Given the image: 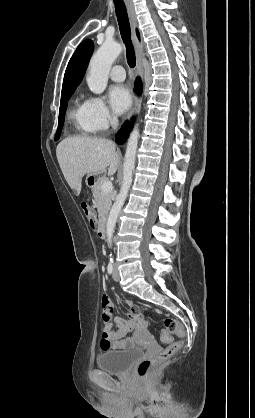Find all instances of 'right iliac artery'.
I'll return each instance as SVG.
<instances>
[{
	"instance_id": "right-iliac-artery-1",
	"label": "right iliac artery",
	"mask_w": 255,
	"mask_h": 418,
	"mask_svg": "<svg viewBox=\"0 0 255 418\" xmlns=\"http://www.w3.org/2000/svg\"><path fill=\"white\" fill-rule=\"evenodd\" d=\"M113 268H114L113 259L110 258V261H109V264H108V267H107V271H108L109 274H112Z\"/></svg>"
}]
</instances>
